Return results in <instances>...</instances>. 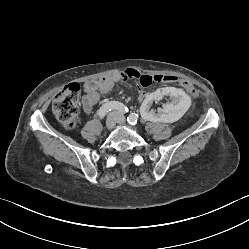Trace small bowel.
I'll use <instances>...</instances> for the list:
<instances>
[{"mask_svg":"<svg viewBox=\"0 0 249 249\" xmlns=\"http://www.w3.org/2000/svg\"><path fill=\"white\" fill-rule=\"evenodd\" d=\"M141 75V72L138 70H115L100 79L87 81L84 84L85 94L82 98V106L84 111L87 114L91 113L94 106L101 99L102 95L107 94L117 82L128 81L132 83L133 86H138L140 83L138 79ZM141 93H144V91H140L139 95Z\"/></svg>","mask_w":249,"mask_h":249,"instance_id":"c3829d8e","label":"small bowel"}]
</instances>
